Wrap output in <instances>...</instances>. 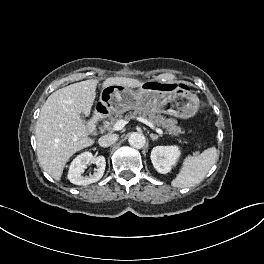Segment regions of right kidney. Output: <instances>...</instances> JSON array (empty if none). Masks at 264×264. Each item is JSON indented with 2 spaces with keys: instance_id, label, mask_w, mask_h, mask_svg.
I'll list each match as a JSON object with an SVG mask.
<instances>
[{
  "instance_id": "1",
  "label": "right kidney",
  "mask_w": 264,
  "mask_h": 264,
  "mask_svg": "<svg viewBox=\"0 0 264 264\" xmlns=\"http://www.w3.org/2000/svg\"><path fill=\"white\" fill-rule=\"evenodd\" d=\"M96 164L97 169L93 175L83 176L84 170L89 164ZM106 160L104 156L93 157L90 152H84L78 155L71 163L68 179L75 185H88L100 180L104 174Z\"/></svg>"
}]
</instances>
